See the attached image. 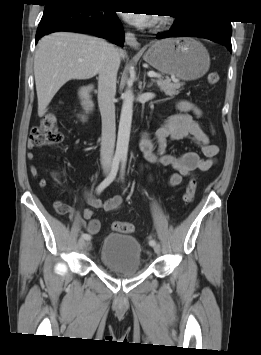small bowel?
<instances>
[{"instance_id":"obj_1","label":"small bowel","mask_w":261,"mask_h":355,"mask_svg":"<svg viewBox=\"0 0 261 355\" xmlns=\"http://www.w3.org/2000/svg\"><path fill=\"white\" fill-rule=\"evenodd\" d=\"M179 113L169 118L154 135L143 134L140 141V149L145 160L152 165H158L167 176L170 186H179L183 183L185 177H193L195 172L206 171L212 168L219 154L217 145L210 142L209 137L200 127L197 119L202 117V110L193 102L180 100L177 102ZM189 140L194 143L201 154L195 151H188L182 155L176 156L168 152V148L173 142ZM29 142V148H32ZM29 159L34 158V153L29 151ZM169 168L172 171H169ZM30 173L33 177H38L39 171L36 166L30 167ZM53 179L62 184L57 171L52 172ZM45 179L40 180V186L45 187ZM84 197L87 203L93 208H101L107 213H112L121 208L123 197L115 195L105 201L93 196L85 191ZM59 212L69 214L70 217L85 228L90 234H96L100 230V221L95 217L92 209H84L82 217L73 208L63 204H57Z\"/></svg>"}]
</instances>
